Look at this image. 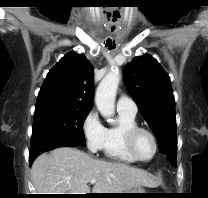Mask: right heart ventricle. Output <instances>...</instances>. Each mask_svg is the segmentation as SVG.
<instances>
[{"label":"right heart ventricle","instance_id":"1","mask_svg":"<svg viewBox=\"0 0 208 198\" xmlns=\"http://www.w3.org/2000/svg\"><path fill=\"white\" fill-rule=\"evenodd\" d=\"M119 123L105 130L103 153L106 158L126 164L136 163L137 160L130 154L125 143V133L128 129L137 126L136 115L119 112Z\"/></svg>","mask_w":208,"mask_h":198}]
</instances>
